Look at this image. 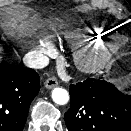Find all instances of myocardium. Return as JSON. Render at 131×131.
<instances>
[{"mask_svg": "<svg viewBox=\"0 0 131 131\" xmlns=\"http://www.w3.org/2000/svg\"><path fill=\"white\" fill-rule=\"evenodd\" d=\"M124 46L125 41L115 36L81 44L73 51V61L80 71L94 73L103 68Z\"/></svg>", "mask_w": 131, "mask_h": 131, "instance_id": "obj_1", "label": "myocardium"}]
</instances>
